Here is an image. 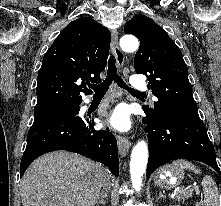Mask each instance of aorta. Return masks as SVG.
I'll return each instance as SVG.
<instances>
[{"mask_svg":"<svg viewBox=\"0 0 221 206\" xmlns=\"http://www.w3.org/2000/svg\"><path fill=\"white\" fill-rule=\"evenodd\" d=\"M120 47L126 52H134L139 47L138 39L133 35H124L120 39ZM148 162V146L143 140L133 147L130 161V176L132 186L139 191L142 187V177Z\"/></svg>","mask_w":221,"mask_h":206,"instance_id":"762f6f07","label":"aorta"}]
</instances>
